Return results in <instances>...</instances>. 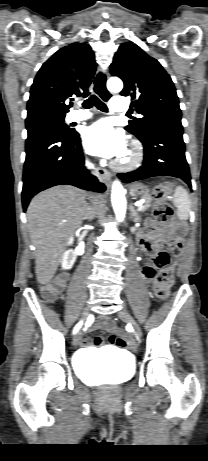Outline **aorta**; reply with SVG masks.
Masks as SVG:
<instances>
[{
  "mask_svg": "<svg viewBox=\"0 0 208 461\" xmlns=\"http://www.w3.org/2000/svg\"><path fill=\"white\" fill-rule=\"evenodd\" d=\"M109 91L118 93L123 88L122 81L117 77H112L107 81ZM111 201L116 219L122 221L126 214L125 189L120 181L115 180L112 184Z\"/></svg>",
  "mask_w": 208,
  "mask_h": 461,
  "instance_id": "aorta-1",
  "label": "aorta"
}]
</instances>
